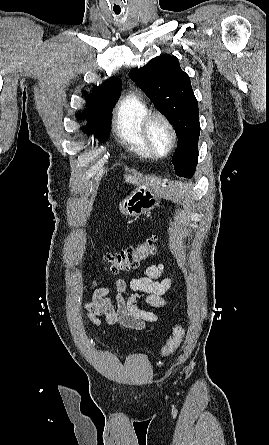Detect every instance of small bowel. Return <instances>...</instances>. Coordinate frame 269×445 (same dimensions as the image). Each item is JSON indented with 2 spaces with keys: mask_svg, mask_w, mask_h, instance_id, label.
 <instances>
[{
  "mask_svg": "<svg viewBox=\"0 0 269 445\" xmlns=\"http://www.w3.org/2000/svg\"><path fill=\"white\" fill-rule=\"evenodd\" d=\"M165 265L160 262L145 266L141 276L126 282L124 279L115 281L116 302H112L111 289L97 288L99 278L92 279L86 286L87 291H93L92 300L84 304L86 316L96 325L106 323L117 325L125 330H142L147 324L156 322L158 316L137 305L139 300L153 308H164L168 301L164 297L170 289L173 279L164 276ZM130 293H127V290Z\"/></svg>",
  "mask_w": 269,
  "mask_h": 445,
  "instance_id": "c3829d8e",
  "label": "small bowel"
}]
</instances>
